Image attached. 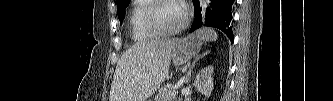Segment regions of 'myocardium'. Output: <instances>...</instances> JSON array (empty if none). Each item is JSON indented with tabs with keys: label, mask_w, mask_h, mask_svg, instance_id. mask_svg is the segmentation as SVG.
Here are the masks:
<instances>
[{
	"label": "myocardium",
	"mask_w": 333,
	"mask_h": 101,
	"mask_svg": "<svg viewBox=\"0 0 333 101\" xmlns=\"http://www.w3.org/2000/svg\"><path fill=\"white\" fill-rule=\"evenodd\" d=\"M166 2H174L183 9V18H182L181 22L179 23V25L168 31L162 30L159 27L157 20H156L157 9L159 8L160 5H162L163 3H166ZM188 20H189V14H188V11L186 10V8L182 7L177 1H170V0L151 1V3L149 4V6L147 7V9L144 13V18H143L145 28L148 31H150L152 34H154L155 36H159V37L172 36V35L179 33L187 26Z\"/></svg>",
	"instance_id": "myocardium-1"
}]
</instances>
